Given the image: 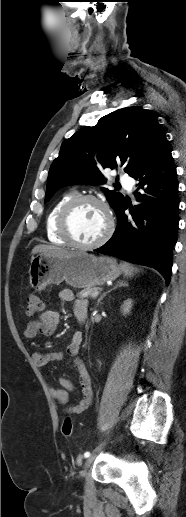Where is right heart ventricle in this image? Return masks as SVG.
I'll return each instance as SVG.
<instances>
[{"label":"right heart ventricle","instance_id":"e07e8e85","mask_svg":"<svg viewBox=\"0 0 186 517\" xmlns=\"http://www.w3.org/2000/svg\"><path fill=\"white\" fill-rule=\"evenodd\" d=\"M75 196V192L64 193L49 209L45 218V233L47 239L54 244H68L58 232V217L64 205Z\"/></svg>","mask_w":186,"mask_h":517}]
</instances>
